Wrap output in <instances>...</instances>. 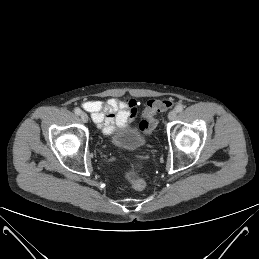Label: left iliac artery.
I'll list each match as a JSON object with an SVG mask.
<instances>
[{
  "instance_id": "44dca946",
  "label": "left iliac artery",
  "mask_w": 259,
  "mask_h": 259,
  "mask_svg": "<svg viewBox=\"0 0 259 259\" xmlns=\"http://www.w3.org/2000/svg\"><path fill=\"white\" fill-rule=\"evenodd\" d=\"M176 111L179 113V112H182V110H183V106L182 105H177L176 106Z\"/></svg>"
}]
</instances>
